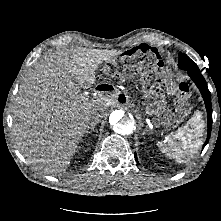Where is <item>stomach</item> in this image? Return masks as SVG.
Returning a JSON list of instances; mask_svg holds the SVG:
<instances>
[{"label":"stomach","mask_w":221,"mask_h":221,"mask_svg":"<svg viewBox=\"0 0 221 221\" xmlns=\"http://www.w3.org/2000/svg\"><path fill=\"white\" fill-rule=\"evenodd\" d=\"M171 88L170 65L166 58L157 57L152 68L142 80V92L147 101V110L158 126H175L182 120V115L175 109H169L165 100Z\"/></svg>","instance_id":"0dacf381"}]
</instances>
